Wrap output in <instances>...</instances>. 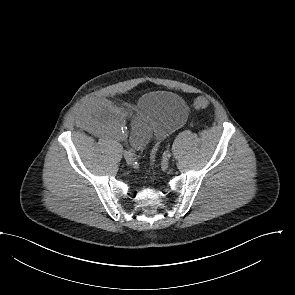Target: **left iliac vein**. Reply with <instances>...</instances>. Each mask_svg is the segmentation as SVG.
<instances>
[{"instance_id": "obj_1", "label": "left iliac vein", "mask_w": 295, "mask_h": 295, "mask_svg": "<svg viewBox=\"0 0 295 295\" xmlns=\"http://www.w3.org/2000/svg\"><path fill=\"white\" fill-rule=\"evenodd\" d=\"M162 166H163V168H168V166H169V159H168V157H165L164 159H163V161H162Z\"/></svg>"}]
</instances>
